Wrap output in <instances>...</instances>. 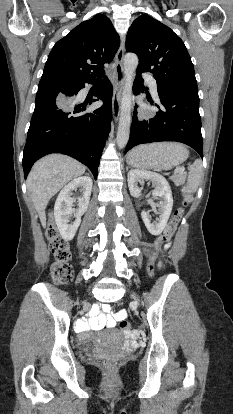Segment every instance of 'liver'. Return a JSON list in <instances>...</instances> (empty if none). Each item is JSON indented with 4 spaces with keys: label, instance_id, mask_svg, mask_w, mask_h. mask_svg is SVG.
Returning a JSON list of instances; mask_svg holds the SVG:
<instances>
[{
    "label": "liver",
    "instance_id": "obj_1",
    "mask_svg": "<svg viewBox=\"0 0 233 414\" xmlns=\"http://www.w3.org/2000/svg\"><path fill=\"white\" fill-rule=\"evenodd\" d=\"M86 167L61 154L48 155L37 161L27 178V189L42 226L46 225L45 208L49 200L69 181L84 174Z\"/></svg>",
    "mask_w": 233,
    "mask_h": 414
}]
</instances>
